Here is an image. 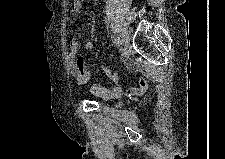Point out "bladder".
<instances>
[{"label":"bladder","instance_id":"31cf9c89","mask_svg":"<svg viewBox=\"0 0 225 159\" xmlns=\"http://www.w3.org/2000/svg\"><path fill=\"white\" fill-rule=\"evenodd\" d=\"M114 104H115V107H119L120 102H115Z\"/></svg>","mask_w":225,"mask_h":159}]
</instances>
